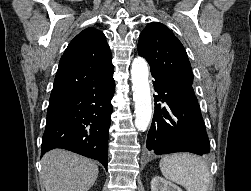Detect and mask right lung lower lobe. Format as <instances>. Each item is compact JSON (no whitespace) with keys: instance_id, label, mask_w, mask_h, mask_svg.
<instances>
[{"instance_id":"obj_1","label":"right lung lower lobe","mask_w":251,"mask_h":191,"mask_svg":"<svg viewBox=\"0 0 251 191\" xmlns=\"http://www.w3.org/2000/svg\"><path fill=\"white\" fill-rule=\"evenodd\" d=\"M115 91L113 77L48 106L41 156L63 148L100 161L107 169L108 136Z\"/></svg>"}]
</instances>
